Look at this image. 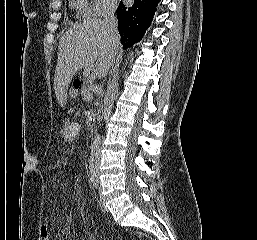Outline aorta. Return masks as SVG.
Returning a JSON list of instances; mask_svg holds the SVG:
<instances>
[{
    "instance_id": "762f6f07",
    "label": "aorta",
    "mask_w": 257,
    "mask_h": 240,
    "mask_svg": "<svg viewBox=\"0 0 257 240\" xmlns=\"http://www.w3.org/2000/svg\"><path fill=\"white\" fill-rule=\"evenodd\" d=\"M100 145L101 136L97 133L91 147L89 158V172L92 181H98L99 178V167L101 162Z\"/></svg>"
}]
</instances>
